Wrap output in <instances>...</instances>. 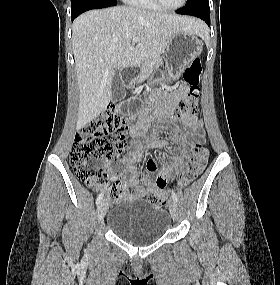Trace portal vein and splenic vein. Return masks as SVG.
Masks as SVG:
<instances>
[{"label":"portal vein and splenic vein","instance_id":"18ae733b","mask_svg":"<svg viewBox=\"0 0 280 285\" xmlns=\"http://www.w3.org/2000/svg\"><path fill=\"white\" fill-rule=\"evenodd\" d=\"M140 41V39L138 37H135L132 39V43H138Z\"/></svg>","mask_w":280,"mask_h":285}]
</instances>
